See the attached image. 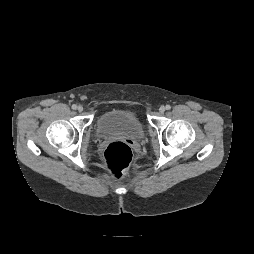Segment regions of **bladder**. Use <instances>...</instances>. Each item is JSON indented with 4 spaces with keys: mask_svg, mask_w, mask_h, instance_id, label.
Here are the masks:
<instances>
[{
    "mask_svg": "<svg viewBox=\"0 0 254 254\" xmlns=\"http://www.w3.org/2000/svg\"><path fill=\"white\" fill-rule=\"evenodd\" d=\"M96 135L99 138L123 136L138 140L144 137V126L130 110L113 108L101 113L96 120Z\"/></svg>",
    "mask_w": 254,
    "mask_h": 254,
    "instance_id": "1",
    "label": "bladder"
}]
</instances>
